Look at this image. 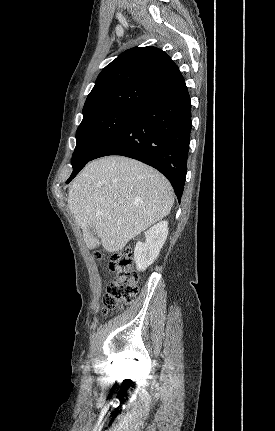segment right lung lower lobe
<instances>
[{
    "label": "right lung lower lobe",
    "instance_id": "98d812e1",
    "mask_svg": "<svg viewBox=\"0 0 275 431\" xmlns=\"http://www.w3.org/2000/svg\"><path fill=\"white\" fill-rule=\"evenodd\" d=\"M191 128V101L183 81L138 108L91 160L122 155L146 163L170 181L180 201L187 172ZM77 173L71 175L67 183Z\"/></svg>",
    "mask_w": 275,
    "mask_h": 431
}]
</instances>
